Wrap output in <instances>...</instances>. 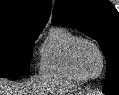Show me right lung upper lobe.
Masks as SVG:
<instances>
[{
    "instance_id": "cb5924a9",
    "label": "right lung upper lobe",
    "mask_w": 119,
    "mask_h": 95,
    "mask_svg": "<svg viewBox=\"0 0 119 95\" xmlns=\"http://www.w3.org/2000/svg\"><path fill=\"white\" fill-rule=\"evenodd\" d=\"M50 8L51 0H0V33L15 28L42 30Z\"/></svg>"
}]
</instances>
